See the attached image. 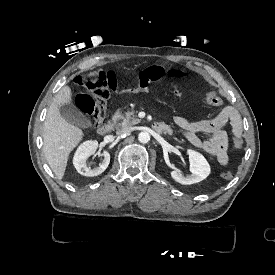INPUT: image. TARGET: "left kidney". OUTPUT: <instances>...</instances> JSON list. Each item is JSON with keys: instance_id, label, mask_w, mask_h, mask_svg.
<instances>
[{"instance_id": "1", "label": "left kidney", "mask_w": 275, "mask_h": 275, "mask_svg": "<svg viewBox=\"0 0 275 275\" xmlns=\"http://www.w3.org/2000/svg\"><path fill=\"white\" fill-rule=\"evenodd\" d=\"M187 153L189 155L190 171L192 174L185 177L180 171L171 172L172 178L183 185L198 183L207 178L211 171L209 163L201 153L191 149L187 150Z\"/></svg>"}]
</instances>
